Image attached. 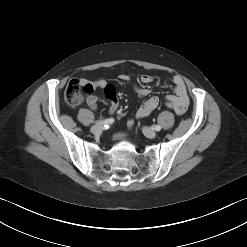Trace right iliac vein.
I'll return each instance as SVG.
<instances>
[{"instance_id": "63e3f726", "label": "right iliac vein", "mask_w": 247, "mask_h": 247, "mask_svg": "<svg viewBox=\"0 0 247 247\" xmlns=\"http://www.w3.org/2000/svg\"><path fill=\"white\" fill-rule=\"evenodd\" d=\"M103 129V126L101 124H96L94 126L91 127V132L94 133V134H98L102 131Z\"/></svg>"}]
</instances>
